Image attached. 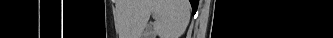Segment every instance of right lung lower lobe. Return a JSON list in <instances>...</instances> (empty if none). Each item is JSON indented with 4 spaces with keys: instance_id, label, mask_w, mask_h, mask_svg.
<instances>
[{
    "instance_id": "1",
    "label": "right lung lower lobe",
    "mask_w": 333,
    "mask_h": 38,
    "mask_svg": "<svg viewBox=\"0 0 333 38\" xmlns=\"http://www.w3.org/2000/svg\"><path fill=\"white\" fill-rule=\"evenodd\" d=\"M190 2H191V5H192V8H193V11H194V9H195L196 4L198 3V1L190 0Z\"/></svg>"
}]
</instances>
